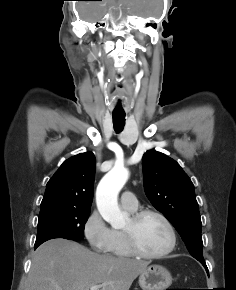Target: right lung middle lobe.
<instances>
[{"mask_svg": "<svg viewBox=\"0 0 236 290\" xmlns=\"http://www.w3.org/2000/svg\"><path fill=\"white\" fill-rule=\"evenodd\" d=\"M89 214L90 209L47 208L40 210L35 246L54 238L82 240Z\"/></svg>", "mask_w": 236, "mask_h": 290, "instance_id": "dd1d6c3e", "label": "right lung middle lobe"}]
</instances>
